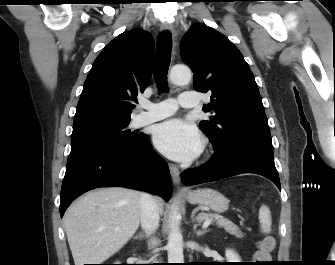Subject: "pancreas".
I'll return each instance as SVG.
<instances>
[{
  "label": "pancreas",
  "instance_id": "obj_1",
  "mask_svg": "<svg viewBox=\"0 0 335 265\" xmlns=\"http://www.w3.org/2000/svg\"><path fill=\"white\" fill-rule=\"evenodd\" d=\"M199 220H206V219H212L216 221V224L219 227H223L226 232L230 233L231 235H235L236 237H243L242 232L238 228L236 224L231 222L230 220L224 218L223 216H220L218 214H210V213H200L198 215Z\"/></svg>",
  "mask_w": 335,
  "mask_h": 265
}]
</instances>
